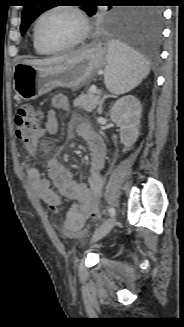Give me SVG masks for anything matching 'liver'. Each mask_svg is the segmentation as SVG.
Wrapping results in <instances>:
<instances>
[{
	"label": "liver",
	"instance_id": "liver-1",
	"mask_svg": "<svg viewBox=\"0 0 184 327\" xmlns=\"http://www.w3.org/2000/svg\"><path fill=\"white\" fill-rule=\"evenodd\" d=\"M72 55H74V54L63 55L60 57H52V58H48V59L25 60V61H23V63L35 65V66H48V65L60 63L64 60L68 59Z\"/></svg>",
	"mask_w": 184,
	"mask_h": 327
}]
</instances>
